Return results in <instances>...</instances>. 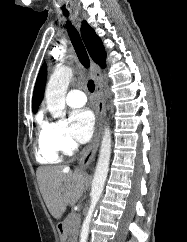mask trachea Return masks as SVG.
I'll return each instance as SVG.
<instances>
[{
	"mask_svg": "<svg viewBox=\"0 0 187 242\" xmlns=\"http://www.w3.org/2000/svg\"><path fill=\"white\" fill-rule=\"evenodd\" d=\"M64 15L68 17V13H64ZM66 28L80 63L88 69L90 67V60L78 31L75 29L70 21H67ZM87 86L88 90L91 93L94 92L95 84L92 80L88 81Z\"/></svg>",
	"mask_w": 187,
	"mask_h": 242,
	"instance_id": "obj_1",
	"label": "trachea"
}]
</instances>
